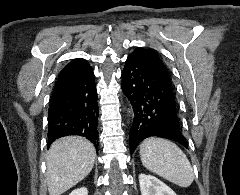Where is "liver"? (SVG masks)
I'll return each mask as SVG.
<instances>
[{
    "label": "liver",
    "instance_id": "1",
    "mask_svg": "<svg viewBox=\"0 0 240 195\" xmlns=\"http://www.w3.org/2000/svg\"><path fill=\"white\" fill-rule=\"evenodd\" d=\"M95 157L93 143L81 135H67L53 141L46 155L49 195H61L84 179Z\"/></svg>",
    "mask_w": 240,
    "mask_h": 195
}]
</instances>
